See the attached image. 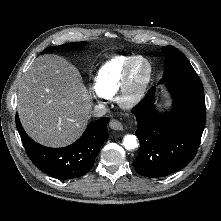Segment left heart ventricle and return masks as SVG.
<instances>
[{
	"label": "left heart ventricle",
	"mask_w": 221,
	"mask_h": 221,
	"mask_svg": "<svg viewBox=\"0 0 221 221\" xmlns=\"http://www.w3.org/2000/svg\"><path fill=\"white\" fill-rule=\"evenodd\" d=\"M147 74V65L143 61H137L131 74V85L133 89L138 88Z\"/></svg>",
	"instance_id": "obj_1"
}]
</instances>
